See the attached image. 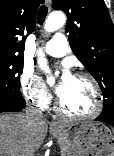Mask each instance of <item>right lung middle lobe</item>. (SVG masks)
Here are the masks:
<instances>
[{"instance_id": "right-lung-middle-lobe-1", "label": "right lung middle lobe", "mask_w": 114, "mask_h": 156, "mask_svg": "<svg viewBox=\"0 0 114 156\" xmlns=\"http://www.w3.org/2000/svg\"><path fill=\"white\" fill-rule=\"evenodd\" d=\"M23 57L0 56V99L24 100L19 89Z\"/></svg>"}]
</instances>
